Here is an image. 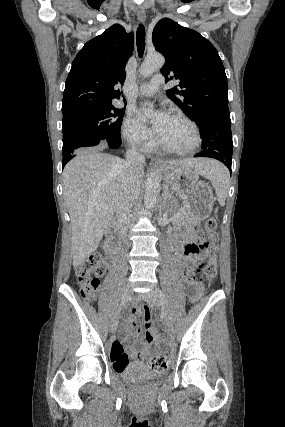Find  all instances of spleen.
Here are the masks:
<instances>
[{
  "instance_id": "obj_1",
  "label": "spleen",
  "mask_w": 285,
  "mask_h": 427,
  "mask_svg": "<svg viewBox=\"0 0 285 427\" xmlns=\"http://www.w3.org/2000/svg\"><path fill=\"white\" fill-rule=\"evenodd\" d=\"M206 178L210 180L212 186L214 187L219 204L224 206L230 186V174L227 168L217 162V164L211 168L210 173L206 176Z\"/></svg>"
}]
</instances>
